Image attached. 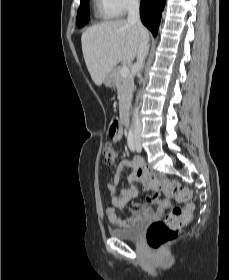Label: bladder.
<instances>
[{
	"mask_svg": "<svg viewBox=\"0 0 229 280\" xmlns=\"http://www.w3.org/2000/svg\"><path fill=\"white\" fill-rule=\"evenodd\" d=\"M144 220L137 221L134 225L126 228L112 229L111 235L119 240H135L140 237L144 229Z\"/></svg>",
	"mask_w": 229,
	"mask_h": 280,
	"instance_id": "obj_1",
	"label": "bladder"
}]
</instances>
